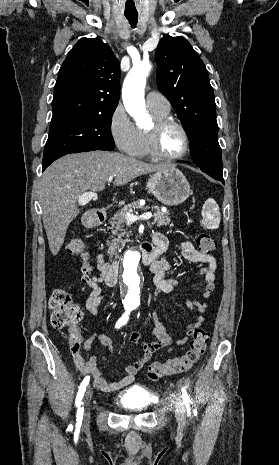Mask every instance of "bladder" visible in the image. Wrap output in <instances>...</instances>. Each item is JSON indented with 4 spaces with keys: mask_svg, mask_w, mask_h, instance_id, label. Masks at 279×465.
Returning a JSON list of instances; mask_svg holds the SVG:
<instances>
[{
    "mask_svg": "<svg viewBox=\"0 0 279 465\" xmlns=\"http://www.w3.org/2000/svg\"><path fill=\"white\" fill-rule=\"evenodd\" d=\"M120 407L131 411H142L150 405V394L141 386H133L118 395Z\"/></svg>",
    "mask_w": 279,
    "mask_h": 465,
    "instance_id": "1",
    "label": "bladder"
}]
</instances>
